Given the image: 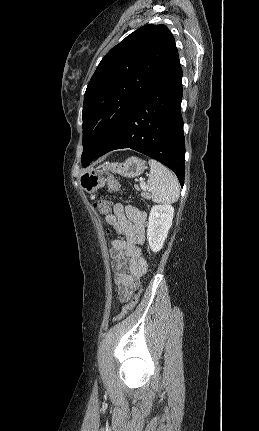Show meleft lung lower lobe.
I'll list each match as a JSON object with an SVG mask.
<instances>
[{"mask_svg": "<svg viewBox=\"0 0 259 431\" xmlns=\"http://www.w3.org/2000/svg\"><path fill=\"white\" fill-rule=\"evenodd\" d=\"M182 69L179 57L153 88L126 114L94 159L131 148L152 157L184 184L185 142L181 116Z\"/></svg>", "mask_w": 259, "mask_h": 431, "instance_id": "0a47b994", "label": "left lung lower lobe"}]
</instances>
